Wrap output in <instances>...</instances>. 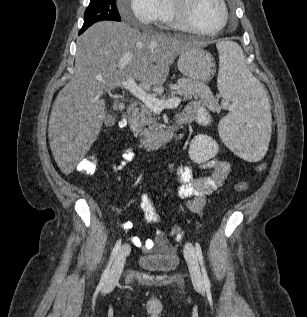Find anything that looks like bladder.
Returning a JSON list of instances; mask_svg holds the SVG:
<instances>
[{"instance_id": "bladder-1", "label": "bladder", "mask_w": 307, "mask_h": 317, "mask_svg": "<svg viewBox=\"0 0 307 317\" xmlns=\"http://www.w3.org/2000/svg\"><path fill=\"white\" fill-rule=\"evenodd\" d=\"M137 264L149 271H172L179 264V257L176 253L163 255H142L138 257Z\"/></svg>"}]
</instances>
